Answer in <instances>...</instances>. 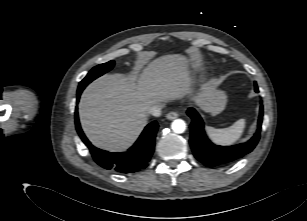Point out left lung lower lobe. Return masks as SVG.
I'll use <instances>...</instances> for the list:
<instances>
[{"label":"left lung lower lobe","mask_w":307,"mask_h":221,"mask_svg":"<svg viewBox=\"0 0 307 221\" xmlns=\"http://www.w3.org/2000/svg\"><path fill=\"white\" fill-rule=\"evenodd\" d=\"M255 91L258 92L255 83ZM187 114L192 118L190 125V145L194 156L207 167H216L229 164L250 153L260 139L261 125L263 120V106H260L258 128L254 136L246 143L222 147L210 142L205 135L202 118L194 108H189Z\"/></svg>","instance_id":"left-lung-lower-lobe-1"}]
</instances>
